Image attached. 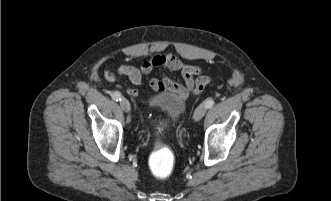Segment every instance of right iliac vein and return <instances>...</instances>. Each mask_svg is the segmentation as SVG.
I'll return each instance as SVG.
<instances>
[{
    "label": "right iliac vein",
    "mask_w": 331,
    "mask_h": 201,
    "mask_svg": "<svg viewBox=\"0 0 331 201\" xmlns=\"http://www.w3.org/2000/svg\"><path fill=\"white\" fill-rule=\"evenodd\" d=\"M120 106H121V108H122L125 112H130V110H131L130 103H129V101H128L127 99H125V98H122V99L120 100Z\"/></svg>",
    "instance_id": "63e3f726"
}]
</instances>
